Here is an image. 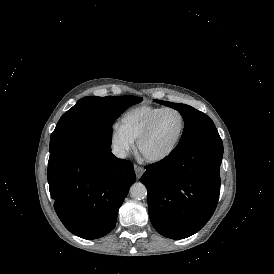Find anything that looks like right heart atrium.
Segmentation results:
<instances>
[{"instance_id": "obj_1", "label": "right heart atrium", "mask_w": 274, "mask_h": 274, "mask_svg": "<svg viewBox=\"0 0 274 274\" xmlns=\"http://www.w3.org/2000/svg\"><path fill=\"white\" fill-rule=\"evenodd\" d=\"M110 141L121 157H126L134 148L133 141H131L117 126L111 128Z\"/></svg>"}]
</instances>
